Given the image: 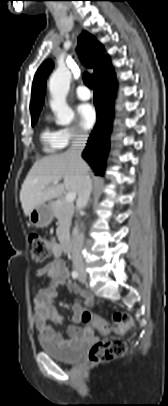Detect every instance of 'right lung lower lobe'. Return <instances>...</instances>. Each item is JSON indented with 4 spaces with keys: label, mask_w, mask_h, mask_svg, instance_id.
<instances>
[{
    "label": "right lung lower lobe",
    "mask_w": 168,
    "mask_h": 406,
    "mask_svg": "<svg viewBox=\"0 0 168 406\" xmlns=\"http://www.w3.org/2000/svg\"><path fill=\"white\" fill-rule=\"evenodd\" d=\"M94 104L97 123L88 139L82 157L92 166L97 175H102L109 151V136L112 129L113 100L116 80L113 70L94 81Z\"/></svg>",
    "instance_id": "1"
}]
</instances>
